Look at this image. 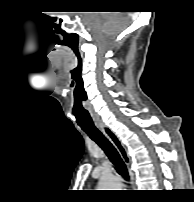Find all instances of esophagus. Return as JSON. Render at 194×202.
I'll use <instances>...</instances> for the list:
<instances>
[{
	"mask_svg": "<svg viewBox=\"0 0 194 202\" xmlns=\"http://www.w3.org/2000/svg\"><path fill=\"white\" fill-rule=\"evenodd\" d=\"M97 127L102 131V133L112 142V144L115 146L117 151L119 152L121 158L123 159L124 163L126 164L130 177H131V183L134 184V173L131 170V158L129 156V153L127 151V148L122 143V141L119 139V137L115 134V132L106 126L105 124H97Z\"/></svg>",
	"mask_w": 194,
	"mask_h": 202,
	"instance_id": "1",
	"label": "esophagus"
}]
</instances>
